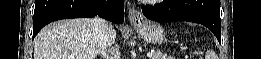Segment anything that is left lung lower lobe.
Returning a JSON list of instances; mask_svg holds the SVG:
<instances>
[{
    "instance_id": "left-lung-lower-lobe-1",
    "label": "left lung lower lobe",
    "mask_w": 261,
    "mask_h": 59,
    "mask_svg": "<svg viewBox=\"0 0 261 59\" xmlns=\"http://www.w3.org/2000/svg\"><path fill=\"white\" fill-rule=\"evenodd\" d=\"M142 12L157 22L200 23L221 41L220 0H165L155 6L142 5Z\"/></svg>"
}]
</instances>
